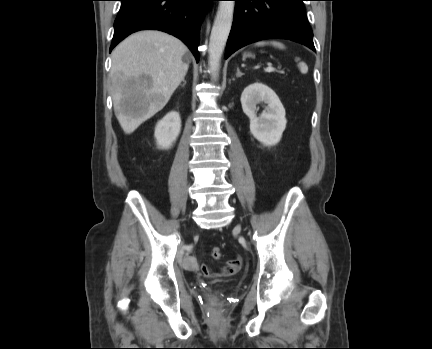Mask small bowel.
Listing matches in <instances>:
<instances>
[{"label":"small bowel","mask_w":432,"mask_h":349,"mask_svg":"<svg viewBox=\"0 0 432 349\" xmlns=\"http://www.w3.org/2000/svg\"><path fill=\"white\" fill-rule=\"evenodd\" d=\"M241 267V259L237 258L227 262V264L219 271H212L207 266H202V275L211 280H221L235 276Z\"/></svg>","instance_id":"small-bowel-1"}]
</instances>
